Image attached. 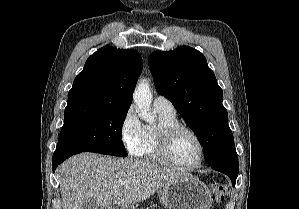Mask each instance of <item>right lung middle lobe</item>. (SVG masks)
<instances>
[{"label":"right lung middle lobe","instance_id":"obj_1","mask_svg":"<svg viewBox=\"0 0 299 209\" xmlns=\"http://www.w3.org/2000/svg\"><path fill=\"white\" fill-rule=\"evenodd\" d=\"M128 109L103 105L67 106L58 148L127 156L121 130Z\"/></svg>","mask_w":299,"mask_h":209}]
</instances>
